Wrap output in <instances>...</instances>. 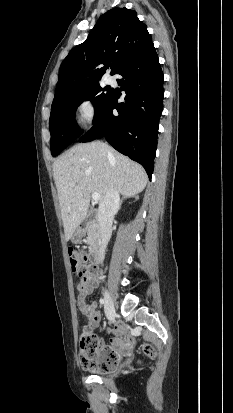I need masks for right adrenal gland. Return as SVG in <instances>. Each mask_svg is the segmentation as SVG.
Returning a JSON list of instances; mask_svg holds the SVG:
<instances>
[{"instance_id": "1", "label": "right adrenal gland", "mask_w": 233, "mask_h": 413, "mask_svg": "<svg viewBox=\"0 0 233 413\" xmlns=\"http://www.w3.org/2000/svg\"><path fill=\"white\" fill-rule=\"evenodd\" d=\"M130 197H131V196H129V195L123 196V198H122L121 201H120V207H119V208H121V205H122L123 201H124L125 199H127V198H130ZM134 198L137 200V199H138V196H134Z\"/></svg>"}]
</instances>
